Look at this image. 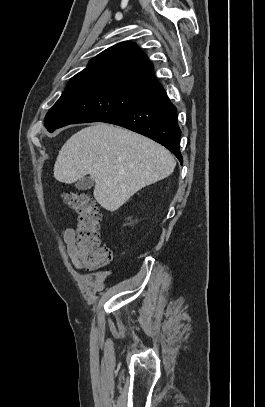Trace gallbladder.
Instances as JSON below:
<instances>
[{"instance_id": "bac80fb5", "label": "gallbladder", "mask_w": 265, "mask_h": 407, "mask_svg": "<svg viewBox=\"0 0 265 407\" xmlns=\"http://www.w3.org/2000/svg\"><path fill=\"white\" fill-rule=\"evenodd\" d=\"M93 185L94 180L91 177H83L76 182L75 187L78 190L84 191L90 189Z\"/></svg>"}]
</instances>
